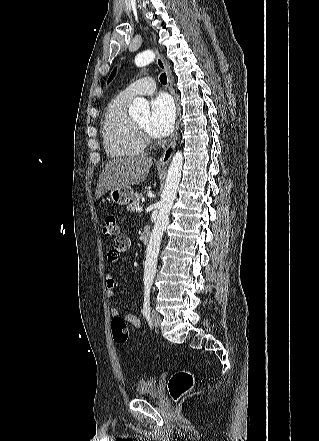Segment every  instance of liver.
Returning a JSON list of instances; mask_svg holds the SVG:
<instances>
[{
	"mask_svg": "<svg viewBox=\"0 0 319 441\" xmlns=\"http://www.w3.org/2000/svg\"><path fill=\"white\" fill-rule=\"evenodd\" d=\"M152 164V158L143 156L110 159L100 174L95 197L99 199L112 189L143 182Z\"/></svg>",
	"mask_w": 319,
	"mask_h": 441,
	"instance_id": "obj_1",
	"label": "liver"
}]
</instances>
